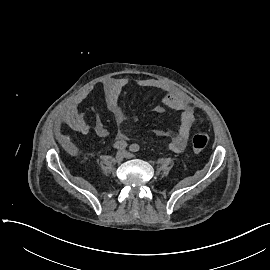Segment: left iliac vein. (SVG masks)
<instances>
[{"label": "left iliac vein", "instance_id": "4c4485c4", "mask_svg": "<svg viewBox=\"0 0 270 270\" xmlns=\"http://www.w3.org/2000/svg\"><path fill=\"white\" fill-rule=\"evenodd\" d=\"M125 157L126 158H132L133 154L129 153V152H125Z\"/></svg>", "mask_w": 270, "mask_h": 270}]
</instances>
